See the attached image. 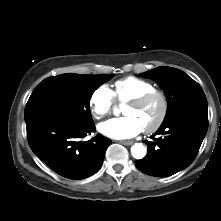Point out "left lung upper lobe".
<instances>
[{
    "mask_svg": "<svg viewBox=\"0 0 221 221\" xmlns=\"http://www.w3.org/2000/svg\"><path fill=\"white\" fill-rule=\"evenodd\" d=\"M141 76L155 80L164 90L168 101L164 121L191 106L207 105L201 86L181 70L161 66Z\"/></svg>",
    "mask_w": 221,
    "mask_h": 221,
    "instance_id": "5c2ea615",
    "label": "left lung upper lobe"
}]
</instances>
